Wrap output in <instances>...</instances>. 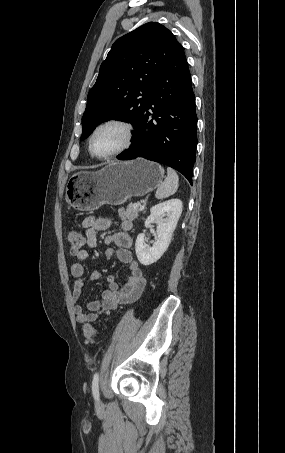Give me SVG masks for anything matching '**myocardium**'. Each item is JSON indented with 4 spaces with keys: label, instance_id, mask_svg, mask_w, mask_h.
Instances as JSON below:
<instances>
[{
    "label": "myocardium",
    "instance_id": "myocardium-1",
    "mask_svg": "<svg viewBox=\"0 0 285 453\" xmlns=\"http://www.w3.org/2000/svg\"><path fill=\"white\" fill-rule=\"evenodd\" d=\"M111 125L118 126L123 129V131L125 133V141L115 151H113L109 154H106V155H98L93 150V139L100 129L107 127V126H111ZM134 139H135V129H134V126L132 123H130L129 121L122 119V118H110V119H107V120L99 123L94 128V130L92 131V133L89 137L88 148H89L90 154L93 157H95L97 159L105 160V159H110V158L116 157V156L124 153L125 151H127L133 145Z\"/></svg>",
    "mask_w": 285,
    "mask_h": 453
}]
</instances>
